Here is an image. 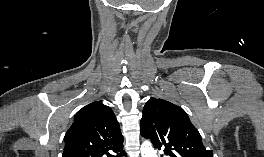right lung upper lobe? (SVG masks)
I'll use <instances>...</instances> for the list:
<instances>
[{
    "label": "right lung upper lobe",
    "instance_id": "right-lung-upper-lobe-1",
    "mask_svg": "<svg viewBox=\"0 0 264 157\" xmlns=\"http://www.w3.org/2000/svg\"><path fill=\"white\" fill-rule=\"evenodd\" d=\"M121 148L123 136L112 109L95 101L77 112L62 157H104Z\"/></svg>",
    "mask_w": 264,
    "mask_h": 157
}]
</instances>
